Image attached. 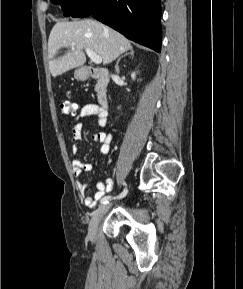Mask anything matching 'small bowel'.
<instances>
[{
	"mask_svg": "<svg viewBox=\"0 0 243 289\" xmlns=\"http://www.w3.org/2000/svg\"><path fill=\"white\" fill-rule=\"evenodd\" d=\"M94 115L97 118V123L100 127H105L107 125V111L102 107L92 104L86 103L82 106L80 111L76 114L74 120L69 124V129L72 133V153L76 155L79 152V148L77 146V142L82 138V124L80 120ZM93 140L95 142L100 143V152L101 154H108L111 150V143L113 140V136L110 133L106 132H97L93 135ZM71 168L74 176L77 180V190L79 195L82 197L83 202L88 207H94L98 201L102 200L105 197V194L112 189L111 180L107 181H99L96 184V192L93 196L87 194V190L89 185L79 180L83 171L90 172L93 169L92 164L85 163L80 161L79 159H73L71 161Z\"/></svg>",
	"mask_w": 243,
	"mask_h": 289,
	"instance_id": "1",
	"label": "small bowel"
}]
</instances>
